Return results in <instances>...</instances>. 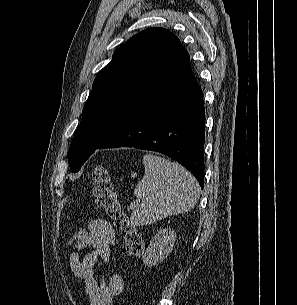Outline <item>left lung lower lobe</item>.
<instances>
[{"mask_svg":"<svg viewBox=\"0 0 297 305\" xmlns=\"http://www.w3.org/2000/svg\"><path fill=\"white\" fill-rule=\"evenodd\" d=\"M204 128L203 93L188 73L151 86L98 149L134 147L160 152L182 164L203 188Z\"/></svg>","mask_w":297,"mask_h":305,"instance_id":"left-lung-lower-lobe-1","label":"left lung lower lobe"}]
</instances>
